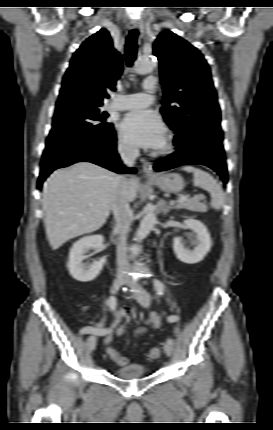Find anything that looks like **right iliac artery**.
Here are the masks:
<instances>
[{
    "label": "right iliac artery",
    "mask_w": 273,
    "mask_h": 430,
    "mask_svg": "<svg viewBox=\"0 0 273 430\" xmlns=\"http://www.w3.org/2000/svg\"><path fill=\"white\" fill-rule=\"evenodd\" d=\"M107 305L109 306L111 311H115L116 309V298L114 296H111L108 300H107ZM86 334V335H106L108 333V329H101V330H86L85 332L82 330L81 334Z\"/></svg>",
    "instance_id": "right-iliac-artery-1"
}]
</instances>
